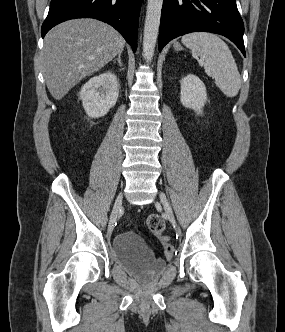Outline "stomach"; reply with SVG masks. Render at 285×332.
<instances>
[{
    "label": "stomach",
    "instance_id": "1",
    "mask_svg": "<svg viewBox=\"0 0 285 332\" xmlns=\"http://www.w3.org/2000/svg\"><path fill=\"white\" fill-rule=\"evenodd\" d=\"M174 48H175L176 50H180V49H181V46H180V44L175 43V44H174Z\"/></svg>",
    "mask_w": 285,
    "mask_h": 332
}]
</instances>
